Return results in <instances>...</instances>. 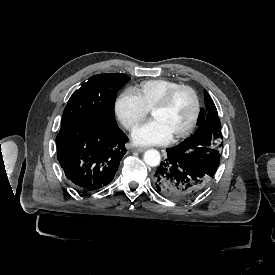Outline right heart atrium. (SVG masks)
<instances>
[{"label":"right heart atrium","instance_id":"1","mask_svg":"<svg viewBox=\"0 0 275 275\" xmlns=\"http://www.w3.org/2000/svg\"><path fill=\"white\" fill-rule=\"evenodd\" d=\"M115 111L122 125L129 131L135 129L149 113L132 90L124 91L117 98Z\"/></svg>","mask_w":275,"mask_h":275}]
</instances>
